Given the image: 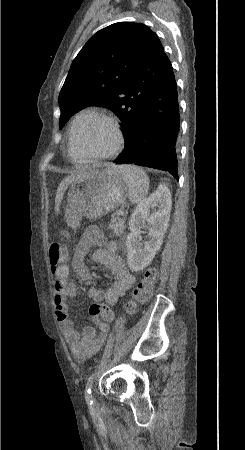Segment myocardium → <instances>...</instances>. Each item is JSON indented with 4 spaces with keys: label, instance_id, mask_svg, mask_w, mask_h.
Wrapping results in <instances>:
<instances>
[{
    "label": "myocardium",
    "instance_id": "1",
    "mask_svg": "<svg viewBox=\"0 0 245 450\" xmlns=\"http://www.w3.org/2000/svg\"><path fill=\"white\" fill-rule=\"evenodd\" d=\"M88 122H105L111 126V128L113 129L115 136H116V142H115V146L109 153L104 154V155H99V156H88L77 150L76 143H75L76 131L80 125H82L83 123H88ZM69 143H70L71 151L74 152L79 158L84 159V160L89 159V160L102 161V160L112 159L121 152V150L123 149L124 144H125V137H124V133H123V130H122V127H121L119 121L114 116L107 114V113H103V112H96L87 118H84V119L75 118L73 120V122L71 123L70 129H69Z\"/></svg>",
    "mask_w": 245,
    "mask_h": 450
}]
</instances>
